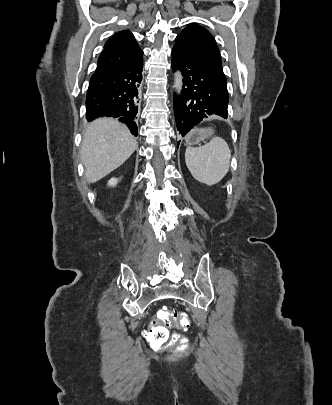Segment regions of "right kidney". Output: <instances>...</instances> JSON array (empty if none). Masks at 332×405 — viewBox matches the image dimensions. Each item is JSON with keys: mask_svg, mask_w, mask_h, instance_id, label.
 <instances>
[{"mask_svg": "<svg viewBox=\"0 0 332 405\" xmlns=\"http://www.w3.org/2000/svg\"><path fill=\"white\" fill-rule=\"evenodd\" d=\"M117 183H118V179H117V178H111V179L108 181L107 185L110 186V187H114V186H116Z\"/></svg>", "mask_w": 332, "mask_h": 405, "instance_id": "obj_1", "label": "right kidney"}]
</instances>
